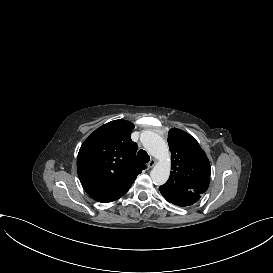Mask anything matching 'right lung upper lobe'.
I'll return each mask as SVG.
<instances>
[{
    "label": "right lung upper lobe",
    "instance_id": "right-lung-upper-lobe-1",
    "mask_svg": "<svg viewBox=\"0 0 273 273\" xmlns=\"http://www.w3.org/2000/svg\"><path fill=\"white\" fill-rule=\"evenodd\" d=\"M133 128L129 121L114 120L99 127L82 144L78 176L96 201L108 203L122 197L145 169L136 158L137 144L130 136Z\"/></svg>",
    "mask_w": 273,
    "mask_h": 273
}]
</instances>
